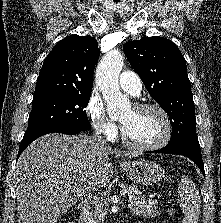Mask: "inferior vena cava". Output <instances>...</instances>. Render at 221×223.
<instances>
[{
  "instance_id": "1",
  "label": "inferior vena cava",
  "mask_w": 221,
  "mask_h": 223,
  "mask_svg": "<svg viewBox=\"0 0 221 223\" xmlns=\"http://www.w3.org/2000/svg\"><path fill=\"white\" fill-rule=\"evenodd\" d=\"M92 141L97 143V144L103 145V146L107 145L106 140H104V138L100 135L99 132L94 133V135L92 137Z\"/></svg>"
}]
</instances>
